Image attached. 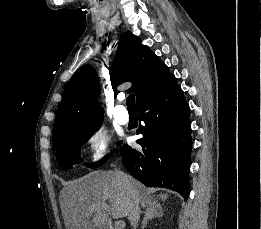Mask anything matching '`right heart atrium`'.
<instances>
[{"label":"right heart atrium","instance_id":"d8ad5b80","mask_svg":"<svg viewBox=\"0 0 261 229\" xmlns=\"http://www.w3.org/2000/svg\"><path fill=\"white\" fill-rule=\"evenodd\" d=\"M90 158L92 163H98L108 154L110 135L102 126H96L89 133Z\"/></svg>","mask_w":261,"mask_h":229}]
</instances>
